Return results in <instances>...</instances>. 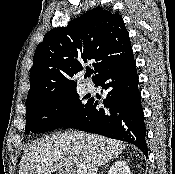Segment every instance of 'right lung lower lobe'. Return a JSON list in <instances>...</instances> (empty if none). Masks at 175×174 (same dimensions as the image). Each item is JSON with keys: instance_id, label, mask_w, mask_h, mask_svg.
<instances>
[{"instance_id": "right-lung-lower-lobe-1", "label": "right lung lower lobe", "mask_w": 175, "mask_h": 174, "mask_svg": "<svg viewBox=\"0 0 175 174\" xmlns=\"http://www.w3.org/2000/svg\"><path fill=\"white\" fill-rule=\"evenodd\" d=\"M106 93L105 108L90 99L81 114L65 127L123 140L148 156L146 127L133 52L106 69L95 82Z\"/></svg>"}]
</instances>
